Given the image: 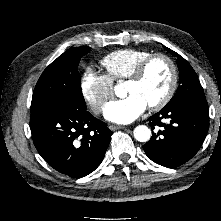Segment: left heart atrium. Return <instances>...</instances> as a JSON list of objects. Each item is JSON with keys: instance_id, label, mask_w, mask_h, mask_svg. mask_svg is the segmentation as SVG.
I'll return each instance as SVG.
<instances>
[{"instance_id": "obj_1", "label": "left heart atrium", "mask_w": 221, "mask_h": 221, "mask_svg": "<svg viewBox=\"0 0 221 221\" xmlns=\"http://www.w3.org/2000/svg\"><path fill=\"white\" fill-rule=\"evenodd\" d=\"M147 108V104L135 94H130L121 100L108 103L104 115L109 121L128 124L136 120Z\"/></svg>"}]
</instances>
